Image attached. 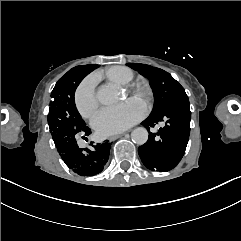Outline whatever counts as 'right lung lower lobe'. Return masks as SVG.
<instances>
[{
    "instance_id": "right-lung-lower-lobe-1",
    "label": "right lung lower lobe",
    "mask_w": 241,
    "mask_h": 241,
    "mask_svg": "<svg viewBox=\"0 0 241 241\" xmlns=\"http://www.w3.org/2000/svg\"><path fill=\"white\" fill-rule=\"evenodd\" d=\"M92 70L91 65H85L81 70L80 82ZM91 133V129L86 127L83 134L85 136ZM66 138L57 150L65 164L80 176H93L104 169L110 153L111 144L104 142L93 146L94 149L79 148L76 139Z\"/></svg>"
}]
</instances>
